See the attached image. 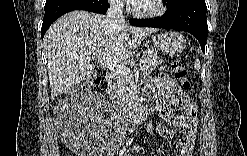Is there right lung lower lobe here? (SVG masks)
<instances>
[{"label": "right lung lower lobe", "mask_w": 247, "mask_h": 156, "mask_svg": "<svg viewBox=\"0 0 247 156\" xmlns=\"http://www.w3.org/2000/svg\"><path fill=\"white\" fill-rule=\"evenodd\" d=\"M85 10L94 13L105 14L108 10L107 0H47L45 4V15L42 24L41 36L49 26L63 14L74 11Z\"/></svg>", "instance_id": "98d812e1"}]
</instances>
